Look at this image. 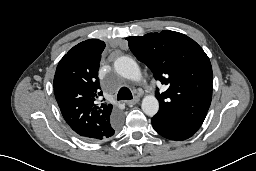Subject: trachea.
Listing matches in <instances>:
<instances>
[{"mask_svg": "<svg viewBox=\"0 0 256 171\" xmlns=\"http://www.w3.org/2000/svg\"><path fill=\"white\" fill-rule=\"evenodd\" d=\"M132 98V93L127 87H122L117 94V100H131Z\"/></svg>", "mask_w": 256, "mask_h": 171, "instance_id": "1", "label": "trachea"}]
</instances>
